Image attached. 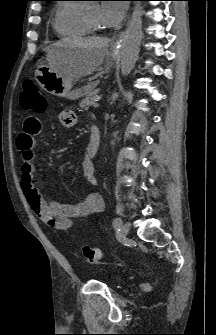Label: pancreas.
<instances>
[{"instance_id": "cf45deb5", "label": "pancreas", "mask_w": 216, "mask_h": 335, "mask_svg": "<svg viewBox=\"0 0 216 335\" xmlns=\"http://www.w3.org/2000/svg\"><path fill=\"white\" fill-rule=\"evenodd\" d=\"M83 91L85 98L80 102L79 106L84 110H88L90 106L94 105L95 100L98 97L99 89L92 91V87L88 85L83 89Z\"/></svg>"}]
</instances>
